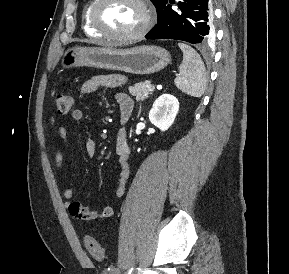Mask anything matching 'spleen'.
<instances>
[{"instance_id": "3e777b00", "label": "spleen", "mask_w": 289, "mask_h": 274, "mask_svg": "<svg viewBox=\"0 0 289 274\" xmlns=\"http://www.w3.org/2000/svg\"><path fill=\"white\" fill-rule=\"evenodd\" d=\"M183 52V61L179 67V75L174 82L182 92L200 97L206 87V72L204 63L200 55L189 45L184 43L178 44Z\"/></svg>"}]
</instances>
